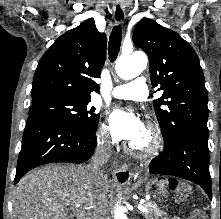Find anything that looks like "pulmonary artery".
I'll return each mask as SVG.
<instances>
[{"instance_id":"obj_1","label":"pulmonary artery","mask_w":221,"mask_h":219,"mask_svg":"<svg viewBox=\"0 0 221 219\" xmlns=\"http://www.w3.org/2000/svg\"><path fill=\"white\" fill-rule=\"evenodd\" d=\"M112 96L117 99L142 101L148 96V89L144 77H135L130 83L115 86Z\"/></svg>"}]
</instances>
